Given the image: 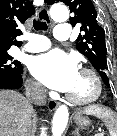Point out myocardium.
Segmentation results:
<instances>
[{
	"mask_svg": "<svg viewBox=\"0 0 117 136\" xmlns=\"http://www.w3.org/2000/svg\"><path fill=\"white\" fill-rule=\"evenodd\" d=\"M79 73L87 75L91 78L94 86V91L89 97L86 98H77L68 93L66 95L67 100L76 105H88L96 102L101 97L103 92L101 78L94 70L89 68H82Z\"/></svg>",
	"mask_w": 117,
	"mask_h": 136,
	"instance_id": "myocardium-1",
	"label": "myocardium"
}]
</instances>
